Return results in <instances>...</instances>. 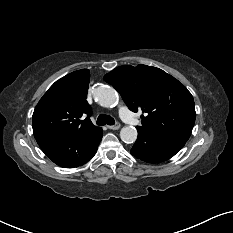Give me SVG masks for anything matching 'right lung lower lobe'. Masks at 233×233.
Instances as JSON below:
<instances>
[{
    "instance_id": "obj_1",
    "label": "right lung lower lobe",
    "mask_w": 233,
    "mask_h": 233,
    "mask_svg": "<svg viewBox=\"0 0 233 233\" xmlns=\"http://www.w3.org/2000/svg\"><path fill=\"white\" fill-rule=\"evenodd\" d=\"M102 135V129L98 128L76 139L45 138L37 140V143L54 163L64 168H74L95 155Z\"/></svg>"
}]
</instances>
